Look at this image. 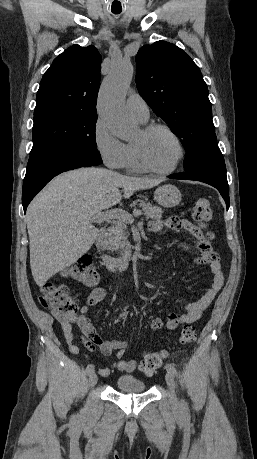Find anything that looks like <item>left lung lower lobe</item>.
Listing matches in <instances>:
<instances>
[{
    "mask_svg": "<svg viewBox=\"0 0 257 459\" xmlns=\"http://www.w3.org/2000/svg\"><path fill=\"white\" fill-rule=\"evenodd\" d=\"M214 151L218 155L217 158L212 160V162L204 168L198 171H185L182 173H176L170 175L169 178L201 181L215 187L218 189L223 199L225 200L228 210L230 201L228 182L226 177V166L218 145L214 147Z\"/></svg>",
    "mask_w": 257,
    "mask_h": 459,
    "instance_id": "0a47b994",
    "label": "left lung lower lobe"
}]
</instances>
